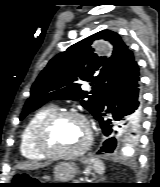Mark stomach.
I'll return each mask as SVG.
<instances>
[{
	"instance_id": "0dacf381",
	"label": "stomach",
	"mask_w": 160,
	"mask_h": 187,
	"mask_svg": "<svg viewBox=\"0 0 160 187\" xmlns=\"http://www.w3.org/2000/svg\"><path fill=\"white\" fill-rule=\"evenodd\" d=\"M78 167L73 162H60L54 168V178L57 181H70L75 177Z\"/></svg>"
}]
</instances>
